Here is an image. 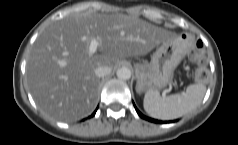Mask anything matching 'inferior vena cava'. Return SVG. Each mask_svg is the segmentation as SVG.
Segmentation results:
<instances>
[{
  "label": "inferior vena cava",
  "instance_id": "1",
  "mask_svg": "<svg viewBox=\"0 0 238 145\" xmlns=\"http://www.w3.org/2000/svg\"><path fill=\"white\" fill-rule=\"evenodd\" d=\"M112 69L108 66H99L95 69V75L97 77H104L111 73Z\"/></svg>",
  "mask_w": 238,
  "mask_h": 145
}]
</instances>
